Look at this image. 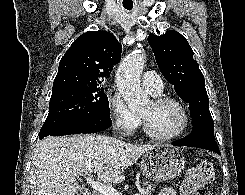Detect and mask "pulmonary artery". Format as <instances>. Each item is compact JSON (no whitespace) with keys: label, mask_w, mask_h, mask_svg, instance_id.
Here are the masks:
<instances>
[{"label":"pulmonary artery","mask_w":245,"mask_h":195,"mask_svg":"<svg viewBox=\"0 0 245 195\" xmlns=\"http://www.w3.org/2000/svg\"><path fill=\"white\" fill-rule=\"evenodd\" d=\"M143 87L152 95H158L163 90V81L154 71H145L142 75Z\"/></svg>","instance_id":"e3ab8cb5"}]
</instances>
